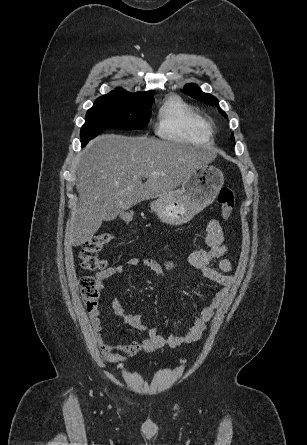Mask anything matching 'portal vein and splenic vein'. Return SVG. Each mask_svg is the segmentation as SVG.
<instances>
[{"label": "portal vein and splenic vein", "instance_id": "portal-vein-and-splenic-vein-1", "mask_svg": "<svg viewBox=\"0 0 307 445\" xmlns=\"http://www.w3.org/2000/svg\"><path fill=\"white\" fill-rule=\"evenodd\" d=\"M151 174H165V172H160V170H156V172H151Z\"/></svg>", "mask_w": 307, "mask_h": 445}]
</instances>
